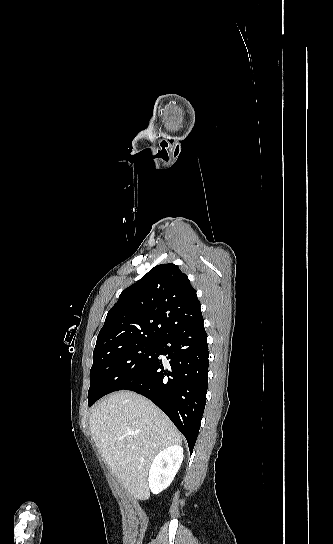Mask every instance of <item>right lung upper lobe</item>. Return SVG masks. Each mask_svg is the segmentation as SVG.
<instances>
[{
    "instance_id": "obj_1",
    "label": "right lung upper lobe",
    "mask_w": 333,
    "mask_h": 544,
    "mask_svg": "<svg viewBox=\"0 0 333 544\" xmlns=\"http://www.w3.org/2000/svg\"><path fill=\"white\" fill-rule=\"evenodd\" d=\"M200 315V302L188 277L175 264L157 265L120 294L98 334L93 355L135 340H159Z\"/></svg>"
}]
</instances>
